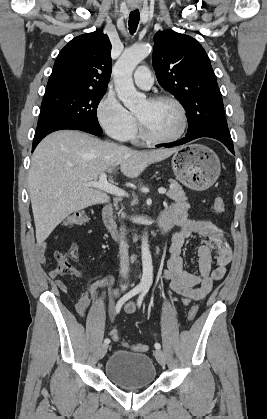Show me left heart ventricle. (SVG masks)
I'll list each match as a JSON object with an SVG mask.
<instances>
[{"label":"left heart ventricle","mask_w":267,"mask_h":419,"mask_svg":"<svg viewBox=\"0 0 267 419\" xmlns=\"http://www.w3.org/2000/svg\"><path fill=\"white\" fill-rule=\"evenodd\" d=\"M148 131L157 137H170L177 133L181 126L178 108L169 101L150 103L144 101L135 111Z\"/></svg>","instance_id":"left-heart-ventricle-1"}]
</instances>
